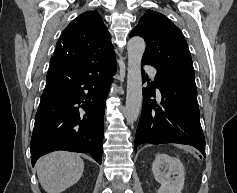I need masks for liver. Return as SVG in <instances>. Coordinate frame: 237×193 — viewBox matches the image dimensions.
Listing matches in <instances>:
<instances>
[{
    "label": "liver",
    "instance_id": "liver-1",
    "mask_svg": "<svg viewBox=\"0 0 237 193\" xmlns=\"http://www.w3.org/2000/svg\"><path fill=\"white\" fill-rule=\"evenodd\" d=\"M36 170L47 193H61L80 180L84 162L75 153L57 151L41 157L36 162Z\"/></svg>",
    "mask_w": 237,
    "mask_h": 193
}]
</instances>
